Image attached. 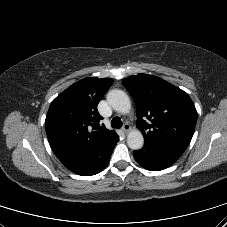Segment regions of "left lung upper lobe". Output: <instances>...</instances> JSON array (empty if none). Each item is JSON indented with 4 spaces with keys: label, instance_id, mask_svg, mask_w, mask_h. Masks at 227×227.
<instances>
[{
    "label": "left lung upper lobe",
    "instance_id": "5c2ea615",
    "mask_svg": "<svg viewBox=\"0 0 227 227\" xmlns=\"http://www.w3.org/2000/svg\"><path fill=\"white\" fill-rule=\"evenodd\" d=\"M122 83L136 103V125L144 136V144L183 153L197 122V111L188 94L153 75H133Z\"/></svg>",
    "mask_w": 227,
    "mask_h": 227
}]
</instances>
